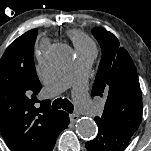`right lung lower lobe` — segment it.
Wrapping results in <instances>:
<instances>
[{"mask_svg":"<svg viewBox=\"0 0 151 151\" xmlns=\"http://www.w3.org/2000/svg\"><path fill=\"white\" fill-rule=\"evenodd\" d=\"M69 124V115L64 112L59 120V124H58V130H59V133L64 130L65 128H67ZM59 135V134H58Z\"/></svg>","mask_w":151,"mask_h":151,"instance_id":"98d812e1","label":"right lung lower lobe"}]
</instances>
